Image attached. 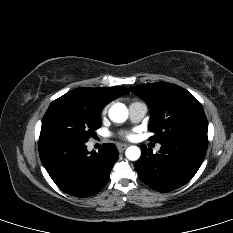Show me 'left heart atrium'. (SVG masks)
Masks as SVG:
<instances>
[{"mask_svg":"<svg viewBox=\"0 0 233 233\" xmlns=\"http://www.w3.org/2000/svg\"><path fill=\"white\" fill-rule=\"evenodd\" d=\"M134 133L133 132H128L125 134V138L128 140H132L134 138Z\"/></svg>","mask_w":233,"mask_h":233,"instance_id":"39dd6f15","label":"left heart atrium"}]
</instances>
